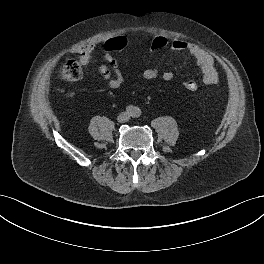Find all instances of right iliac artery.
I'll list each match as a JSON object with an SVG mask.
<instances>
[{
  "label": "right iliac artery",
  "mask_w": 264,
  "mask_h": 264,
  "mask_svg": "<svg viewBox=\"0 0 264 264\" xmlns=\"http://www.w3.org/2000/svg\"><path fill=\"white\" fill-rule=\"evenodd\" d=\"M133 111H134V109H133L132 106L127 107V112L128 113H133Z\"/></svg>",
  "instance_id": "right-iliac-artery-1"
}]
</instances>
